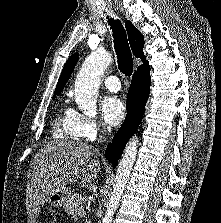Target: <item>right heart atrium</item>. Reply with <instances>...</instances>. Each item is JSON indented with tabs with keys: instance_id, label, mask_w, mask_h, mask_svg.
I'll return each instance as SVG.
<instances>
[{
	"instance_id": "right-heart-atrium-1",
	"label": "right heart atrium",
	"mask_w": 221,
	"mask_h": 223,
	"mask_svg": "<svg viewBox=\"0 0 221 223\" xmlns=\"http://www.w3.org/2000/svg\"><path fill=\"white\" fill-rule=\"evenodd\" d=\"M73 116V127L76 135L85 140H91L97 136L101 130V124L92 118L71 110Z\"/></svg>"
}]
</instances>
